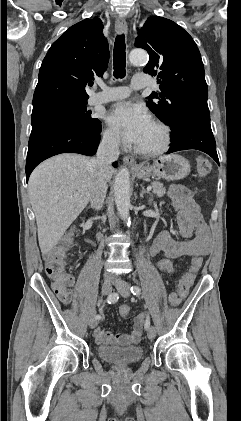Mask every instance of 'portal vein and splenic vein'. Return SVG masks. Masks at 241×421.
Listing matches in <instances>:
<instances>
[{
    "mask_svg": "<svg viewBox=\"0 0 241 421\" xmlns=\"http://www.w3.org/2000/svg\"><path fill=\"white\" fill-rule=\"evenodd\" d=\"M147 190H148V191L152 190V187H151V186H148V187H147ZM76 195H77V194H76Z\"/></svg>",
    "mask_w": 241,
    "mask_h": 421,
    "instance_id": "18ae733b",
    "label": "portal vein and splenic vein"
}]
</instances>
